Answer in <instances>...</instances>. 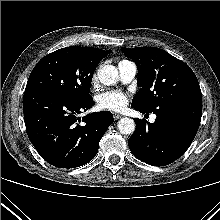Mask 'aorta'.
<instances>
[{
  "mask_svg": "<svg viewBox=\"0 0 220 220\" xmlns=\"http://www.w3.org/2000/svg\"><path fill=\"white\" fill-rule=\"evenodd\" d=\"M118 78L117 68L113 65H103L98 70V79L104 85H114ZM117 127L120 133L130 135L135 131V122L133 119L125 117L118 121Z\"/></svg>",
  "mask_w": 220,
  "mask_h": 220,
  "instance_id": "aorta-1",
  "label": "aorta"
}]
</instances>
